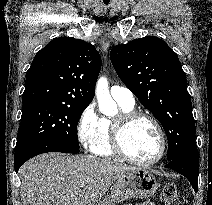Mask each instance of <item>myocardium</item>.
Instances as JSON below:
<instances>
[{"instance_id":"obj_1","label":"myocardium","mask_w":212,"mask_h":205,"mask_svg":"<svg viewBox=\"0 0 212 205\" xmlns=\"http://www.w3.org/2000/svg\"><path fill=\"white\" fill-rule=\"evenodd\" d=\"M138 118H145L149 120L155 127L159 138V152L155 157L148 160H138L131 157L125 151L123 146V134L125 129L131 122ZM111 146L115 154L123 160L139 166H150L158 163L164 157L166 152V137L161 124L153 115L144 111L130 110L122 112L116 119L112 121Z\"/></svg>"}]
</instances>
